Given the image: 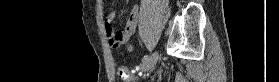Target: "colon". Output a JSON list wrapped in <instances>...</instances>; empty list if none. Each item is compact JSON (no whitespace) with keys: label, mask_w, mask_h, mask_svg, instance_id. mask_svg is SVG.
<instances>
[{"label":"colon","mask_w":279,"mask_h":82,"mask_svg":"<svg viewBox=\"0 0 279 82\" xmlns=\"http://www.w3.org/2000/svg\"><path fill=\"white\" fill-rule=\"evenodd\" d=\"M118 74L123 82H132L134 80V70L132 67L121 65L118 67Z\"/></svg>","instance_id":"5ec220e1"}]
</instances>
